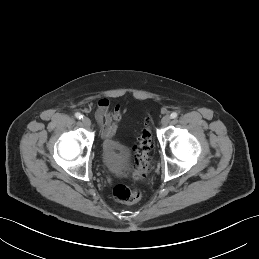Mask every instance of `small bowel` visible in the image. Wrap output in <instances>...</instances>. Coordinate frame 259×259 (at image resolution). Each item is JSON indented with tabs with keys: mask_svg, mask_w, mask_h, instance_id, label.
<instances>
[{
	"mask_svg": "<svg viewBox=\"0 0 259 259\" xmlns=\"http://www.w3.org/2000/svg\"><path fill=\"white\" fill-rule=\"evenodd\" d=\"M121 108H111L107 98H100L97 102L95 119L99 126L101 136L107 140L112 139L121 120Z\"/></svg>",
	"mask_w": 259,
	"mask_h": 259,
	"instance_id": "c3829d8e",
	"label": "small bowel"
}]
</instances>
